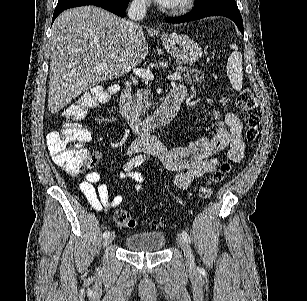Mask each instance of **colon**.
I'll use <instances>...</instances> for the list:
<instances>
[{"label": "colon", "instance_id": "1", "mask_svg": "<svg viewBox=\"0 0 307 301\" xmlns=\"http://www.w3.org/2000/svg\"><path fill=\"white\" fill-rule=\"evenodd\" d=\"M115 93V87H94L81 94L62 111L63 126L61 130L48 135L47 145L55 162L68 172L77 174L94 167L97 163V155L85 147L90 140V133L80 121L87 116L90 110L109 101ZM236 107L244 114L246 138L254 141L258 136L259 118L255 113L256 100L249 89L239 91L236 97ZM230 168V164L224 162L212 177L200 186L199 196L203 199L210 198L214 185L223 179ZM113 219L117 225L122 227L132 228L136 224L125 210H117Z\"/></svg>", "mask_w": 307, "mask_h": 301}]
</instances>
